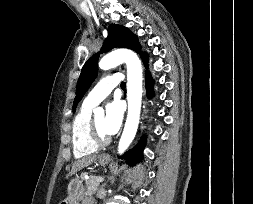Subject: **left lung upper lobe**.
I'll return each mask as SVG.
<instances>
[{
    "label": "left lung upper lobe",
    "mask_w": 253,
    "mask_h": 204,
    "mask_svg": "<svg viewBox=\"0 0 253 204\" xmlns=\"http://www.w3.org/2000/svg\"><path fill=\"white\" fill-rule=\"evenodd\" d=\"M116 47H123L131 49L141 55V58L145 53L141 52L140 45L137 36L129 31L126 27L121 25L112 24L108 28V36L101 48L100 53L107 52ZM98 56L99 53L94 54L83 66L81 74L76 87V97L73 103V112L76 109L77 104L84 96L85 92L90 87L91 83L97 76L98 70Z\"/></svg>",
    "instance_id": "obj_1"
}]
</instances>
